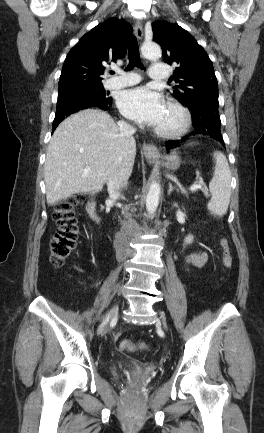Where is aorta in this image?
Returning <instances> with one entry per match:
<instances>
[{
  "instance_id": "762f6f07",
  "label": "aorta",
  "mask_w": 264,
  "mask_h": 433,
  "mask_svg": "<svg viewBox=\"0 0 264 433\" xmlns=\"http://www.w3.org/2000/svg\"><path fill=\"white\" fill-rule=\"evenodd\" d=\"M142 55L147 59L156 60L162 55L161 48L156 43H144L141 47ZM161 187L158 182H153L150 185L146 197V209L149 214H153L159 205Z\"/></svg>"
}]
</instances>
